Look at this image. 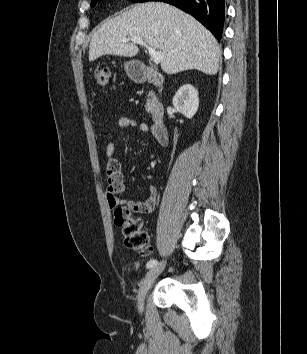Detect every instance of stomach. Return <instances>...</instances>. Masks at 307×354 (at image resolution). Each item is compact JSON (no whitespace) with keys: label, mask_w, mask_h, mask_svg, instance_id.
Instances as JSON below:
<instances>
[{"label":"stomach","mask_w":307,"mask_h":354,"mask_svg":"<svg viewBox=\"0 0 307 354\" xmlns=\"http://www.w3.org/2000/svg\"><path fill=\"white\" fill-rule=\"evenodd\" d=\"M127 75L132 79H137L141 75V68L136 61H128L124 64Z\"/></svg>","instance_id":"obj_1"}]
</instances>
